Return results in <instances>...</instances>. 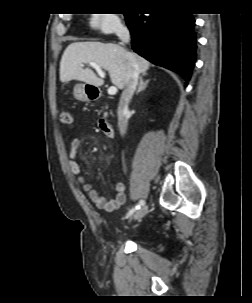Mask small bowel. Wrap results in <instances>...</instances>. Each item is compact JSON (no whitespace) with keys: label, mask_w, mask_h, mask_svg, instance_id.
Returning <instances> with one entry per match:
<instances>
[{"label":"small bowel","mask_w":252,"mask_h":303,"mask_svg":"<svg viewBox=\"0 0 252 303\" xmlns=\"http://www.w3.org/2000/svg\"><path fill=\"white\" fill-rule=\"evenodd\" d=\"M81 143V138H74L69 146L68 168L70 173L76 177L83 189L88 193L92 203L101 210L111 212L120 208L125 202V188L121 182L114 184L115 196L107 201L91 184H89L84 176L81 175L80 166L76 160V156Z\"/></svg>","instance_id":"obj_1"}]
</instances>
